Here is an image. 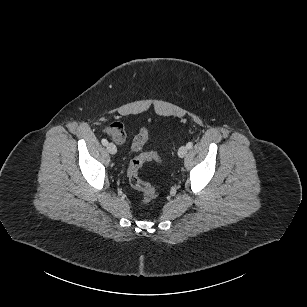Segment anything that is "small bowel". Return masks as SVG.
<instances>
[{"mask_svg":"<svg viewBox=\"0 0 307 307\" xmlns=\"http://www.w3.org/2000/svg\"><path fill=\"white\" fill-rule=\"evenodd\" d=\"M108 134L118 144H123L126 139V133L122 123L118 121L112 122L107 128ZM148 138V132L146 129H141L138 135L134 138L132 143V149L134 151H140Z\"/></svg>","mask_w":307,"mask_h":307,"instance_id":"obj_1","label":"small bowel"}]
</instances>
